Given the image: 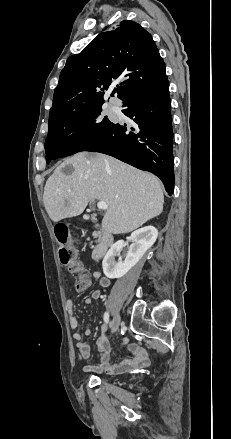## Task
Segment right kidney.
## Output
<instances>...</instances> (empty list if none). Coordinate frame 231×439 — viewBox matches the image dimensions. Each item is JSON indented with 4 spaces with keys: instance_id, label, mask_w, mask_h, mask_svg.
<instances>
[{
    "instance_id": "obj_1",
    "label": "right kidney",
    "mask_w": 231,
    "mask_h": 439,
    "mask_svg": "<svg viewBox=\"0 0 231 439\" xmlns=\"http://www.w3.org/2000/svg\"><path fill=\"white\" fill-rule=\"evenodd\" d=\"M158 237V230L153 226H145L131 234L132 244L129 247L124 261L120 257V252L125 246L123 240L114 243L105 255L102 267L106 277L114 279L124 276L138 261L145 252L152 247ZM118 260H116V258Z\"/></svg>"
}]
</instances>
